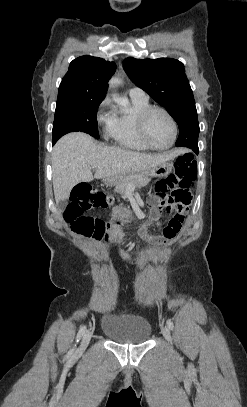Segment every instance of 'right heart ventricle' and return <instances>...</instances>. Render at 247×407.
I'll use <instances>...</instances> for the list:
<instances>
[{
	"label": "right heart ventricle",
	"instance_id": "obj_1",
	"mask_svg": "<svg viewBox=\"0 0 247 407\" xmlns=\"http://www.w3.org/2000/svg\"><path fill=\"white\" fill-rule=\"evenodd\" d=\"M150 106L148 99L131 98L129 107H121L112 111L111 122L106 128V132L116 145L140 152L150 149L142 142L137 131L138 115Z\"/></svg>",
	"mask_w": 247,
	"mask_h": 407
}]
</instances>
